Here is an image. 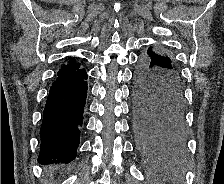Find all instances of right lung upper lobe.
I'll return each instance as SVG.
<instances>
[{
    "label": "right lung upper lobe",
    "instance_id": "cb5924a9",
    "mask_svg": "<svg viewBox=\"0 0 224 184\" xmlns=\"http://www.w3.org/2000/svg\"><path fill=\"white\" fill-rule=\"evenodd\" d=\"M80 64L76 63L73 60H70L67 65L62 66L60 70L70 69L79 66Z\"/></svg>",
    "mask_w": 224,
    "mask_h": 184
}]
</instances>
